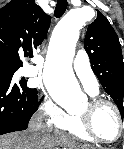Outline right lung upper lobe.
<instances>
[{
	"mask_svg": "<svg viewBox=\"0 0 124 149\" xmlns=\"http://www.w3.org/2000/svg\"><path fill=\"white\" fill-rule=\"evenodd\" d=\"M51 17L35 0H12L0 9V68L22 66L21 54L32 56L50 26Z\"/></svg>",
	"mask_w": 124,
	"mask_h": 149,
	"instance_id": "cb5924a9",
	"label": "right lung upper lobe"
}]
</instances>
